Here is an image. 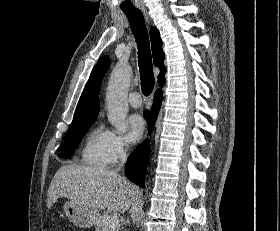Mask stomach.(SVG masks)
Here are the masks:
<instances>
[{
  "label": "stomach",
  "instance_id": "obj_1",
  "mask_svg": "<svg viewBox=\"0 0 280 231\" xmlns=\"http://www.w3.org/2000/svg\"><path fill=\"white\" fill-rule=\"evenodd\" d=\"M63 209L70 221L77 225V227H92L95 225L96 221L92 211L89 207H85L82 203L70 199V201H65Z\"/></svg>",
  "mask_w": 280,
  "mask_h": 231
}]
</instances>
